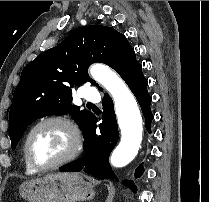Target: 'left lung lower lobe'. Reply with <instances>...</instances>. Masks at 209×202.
I'll return each instance as SVG.
<instances>
[{
  "label": "left lung lower lobe",
  "mask_w": 209,
  "mask_h": 202,
  "mask_svg": "<svg viewBox=\"0 0 209 202\" xmlns=\"http://www.w3.org/2000/svg\"><path fill=\"white\" fill-rule=\"evenodd\" d=\"M135 95L143 115L145 117L146 129L151 132V121L153 115L150 109L151 96L148 94V82L142 73V66L138 64L131 69L123 78ZM103 122L99 125L100 135H96L97 118L94 116L84 134L85 156L80 160L60 168L61 172H79L85 167V172L98 179H116L110 164L109 155L116 146L119 133L111 97L105 94L103 97ZM144 172L142 164L136 168L135 177L138 178ZM123 184L136 191V186L131 180H124Z\"/></svg>",
  "instance_id": "obj_1"
}]
</instances>
